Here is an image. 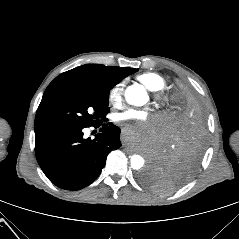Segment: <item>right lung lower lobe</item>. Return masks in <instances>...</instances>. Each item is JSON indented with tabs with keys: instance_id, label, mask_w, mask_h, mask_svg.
I'll use <instances>...</instances> for the list:
<instances>
[{
	"instance_id": "right-lung-lower-lobe-1",
	"label": "right lung lower lobe",
	"mask_w": 239,
	"mask_h": 239,
	"mask_svg": "<svg viewBox=\"0 0 239 239\" xmlns=\"http://www.w3.org/2000/svg\"><path fill=\"white\" fill-rule=\"evenodd\" d=\"M84 128H35L37 161L59 188L79 190L90 185L100 175L107 155L121 146V130L112 123L104 124L93 140L83 138Z\"/></svg>"
}]
</instances>
